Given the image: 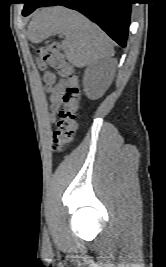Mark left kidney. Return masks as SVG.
I'll return each mask as SVG.
<instances>
[{"label": "left kidney", "instance_id": "obj_1", "mask_svg": "<svg viewBox=\"0 0 166 267\" xmlns=\"http://www.w3.org/2000/svg\"><path fill=\"white\" fill-rule=\"evenodd\" d=\"M105 66V63H98L87 67L85 70L83 87L89 99H98L107 87L108 76Z\"/></svg>", "mask_w": 166, "mask_h": 267}]
</instances>
